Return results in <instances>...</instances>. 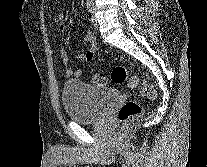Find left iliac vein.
Instances as JSON below:
<instances>
[{
  "label": "left iliac vein",
  "instance_id": "4c4485c4",
  "mask_svg": "<svg viewBox=\"0 0 207 167\" xmlns=\"http://www.w3.org/2000/svg\"><path fill=\"white\" fill-rule=\"evenodd\" d=\"M92 23H93V26L95 28L98 27V22H97V19H96L95 15H94V9H93V12H92Z\"/></svg>",
  "mask_w": 207,
  "mask_h": 167
}]
</instances>
